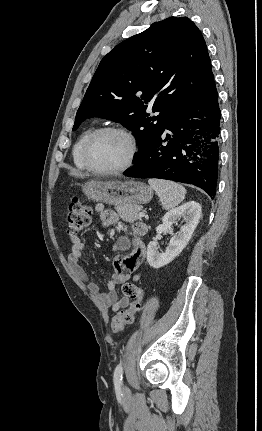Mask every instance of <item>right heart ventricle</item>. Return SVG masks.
I'll use <instances>...</instances> for the list:
<instances>
[{
	"label": "right heart ventricle",
	"mask_w": 262,
	"mask_h": 431,
	"mask_svg": "<svg viewBox=\"0 0 262 431\" xmlns=\"http://www.w3.org/2000/svg\"><path fill=\"white\" fill-rule=\"evenodd\" d=\"M95 128L85 131L76 141L72 149V162L78 170H88L82 160V151L88 137L95 131Z\"/></svg>",
	"instance_id": "e07e8e85"
}]
</instances>
